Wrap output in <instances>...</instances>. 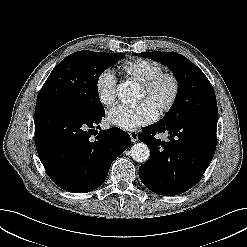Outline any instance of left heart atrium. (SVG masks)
<instances>
[{"label":"left heart atrium","instance_id":"left-heart-atrium-1","mask_svg":"<svg viewBox=\"0 0 247 247\" xmlns=\"http://www.w3.org/2000/svg\"><path fill=\"white\" fill-rule=\"evenodd\" d=\"M158 116V110L147 99L134 106L118 104L107 115L108 122L123 130H133L152 123Z\"/></svg>","mask_w":247,"mask_h":247}]
</instances>
